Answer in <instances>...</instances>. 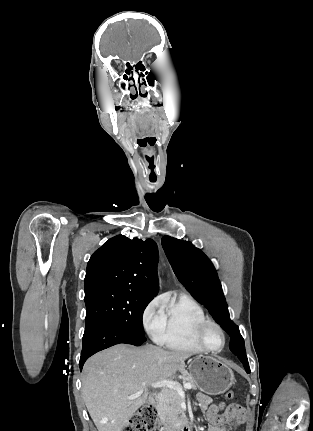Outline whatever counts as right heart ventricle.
Returning <instances> with one entry per match:
<instances>
[{"instance_id":"right-heart-ventricle-1","label":"right heart ventricle","mask_w":313,"mask_h":431,"mask_svg":"<svg viewBox=\"0 0 313 431\" xmlns=\"http://www.w3.org/2000/svg\"><path fill=\"white\" fill-rule=\"evenodd\" d=\"M204 319L202 306L191 296L179 294L164 305V325L156 341L174 351L202 352L195 331Z\"/></svg>"}]
</instances>
